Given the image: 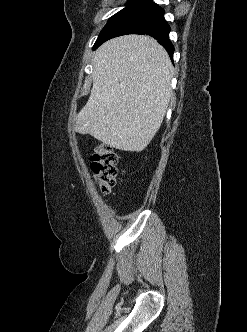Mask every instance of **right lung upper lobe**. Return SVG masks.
<instances>
[{"label":"right lung upper lobe","mask_w":247,"mask_h":332,"mask_svg":"<svg viewBox=\"0 0 247 332\" xmlns=\"http://www.w3.org/2000/svg\"><path fill=\"white\" fill-rule=\"evenodd\" d=\"M145 1L150 2L151 0H145Z\"/></svg>","instance_id":"obj_1"}]
</instances>
